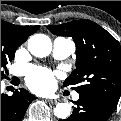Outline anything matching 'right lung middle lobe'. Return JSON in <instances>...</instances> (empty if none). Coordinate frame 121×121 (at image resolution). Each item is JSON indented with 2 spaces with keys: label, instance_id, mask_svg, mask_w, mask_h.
<instances>
[{
  "label": "right lung middle lobe",
  "instance_id": "dd1d6c3e",
  "mask_svg": "<svg viewBox=\"0 0 121 121\" xmlns=\"http://www.w3.org/2000/svg\"><path fill=\"white\" fill-rule=\"evenodd\" d=\"M24 42L9 26L1 24V80L6 77V64L13 60L16 49Z\"/></svg>",
  "mask_w": 121,
  "mask_h": 121
}]
</instances>
